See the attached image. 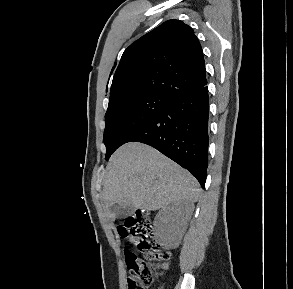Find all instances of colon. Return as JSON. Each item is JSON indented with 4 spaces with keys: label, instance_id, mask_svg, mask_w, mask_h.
<instances>
[{
    "label": "colon",
    "instance_id": "colon-1",
    "mask_svg": "<svg viewBox=\"0 0 293 289\" xmlns=\"http://www.w3.org/2000/svg\"><path fill=\"white\" fill-rule=\"evenodd\" d=\"M118 231L121 237L130 239L145 256V259H141L131 251L125 253L129 270L128 289L149 288L159 270L167 266L170 253L153 240V223L147 213L128 216Z\"/></svg>",
    "mask_w": 293,
    "mask_h": 289
}]
</instances>
